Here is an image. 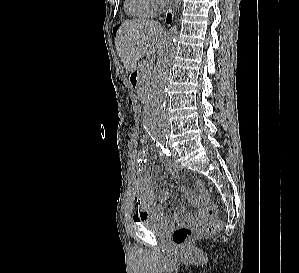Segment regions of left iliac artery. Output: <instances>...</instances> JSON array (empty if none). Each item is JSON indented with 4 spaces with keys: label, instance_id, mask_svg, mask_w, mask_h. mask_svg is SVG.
<instances>
[{
    "label": "left iliac artery",
    "instance_id": "left-iliac-artery-1",
    "mask_svg": "<svg viewBox=\"0 0 299 273\" xmlns=\"http://www.w3.org/2000/svg\"><path fill=\"white\" fill-rule=\"evenodd\" d=\"M158 145L161 147L163 153H165L167 156H172V153L168 148L167 142H161Z\"/></svg>",
    "mask_w": 299,
    "mask_h": 273
}]
</instances>
